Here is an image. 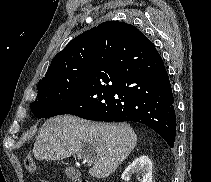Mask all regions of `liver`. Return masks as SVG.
<instances>
[{"label": "liver", "mask_w": 211, "mask_h": 182, "mask_svg": "<svg viewBox=\"0 0 211 182\" xmlns=\"http://www.w3.org/2000/svg\"><path fill=\"white\" fill-rule=\"evenodd\" d=\"M137 135L126 123H91L72 115L48 119L41 127L33 147L38 160H62L79 153L90 157L89 174L105 178L129 156Z\"/></svg>", "instance_id": "obj_1"}]
</instances>
